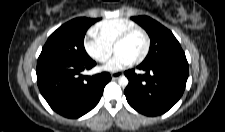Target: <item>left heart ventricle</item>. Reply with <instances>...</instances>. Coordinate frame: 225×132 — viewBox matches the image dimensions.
<instances>
[{
  "label": "left heart ventricle",
  "mask_w": 225,
  "mask_h": 132,
  "mask_svg": "<svg viewBox=\"0 0 225 132\" xmlns=\"http://www.w3.org/2000/svg\"><path fill=\"white\" fill-rule=\"evenodd\" d=\"M145 38L141 33H135L116 48V52L127 55L132 61L137 59L144 51Z\"/></svg>",
  "instance_id": "left-heart-ventricle-1"
}]
</instances>
